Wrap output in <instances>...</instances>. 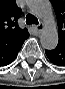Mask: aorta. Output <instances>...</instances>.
I'll list each match as a JSON object with an SVG mask.
<instances>
[{
  "mask_svg": "<svg viewBox=\"0 0 65 89\" xmlns=\"http://www.w3.org/2000/svg\"><path fill=\"white\" fill-rule=\"evenodd\" d=\"M31 11L36 14L44 24L40 36V43L44 49L53 50L58 44V32L52 6L47 0H35L30 4Z\"/></svg>",
  "mask_w": 65,
  "mask_h": 89,
  "instance_id": "aorta-1",
  "label": "aorta"
}]
</instances>
